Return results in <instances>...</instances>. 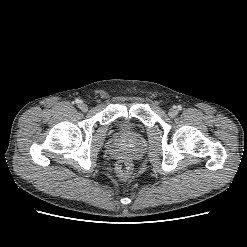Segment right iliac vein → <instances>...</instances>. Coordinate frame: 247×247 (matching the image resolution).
<instances>
[{
    "instance_id": "obj_1",
    "label": "right iliac vein",
    "mask_w": 247,
    "mask_h": 247,
    "mask_svg": "<svg viewBox=\"0 0 247 247\" xmlns=\"http://www.w3.org/2000/svg\"><path fill=\"white\" fill-rule=\"evenodd\" d=\"M78 107L83 112H86L88 110V105L83 102L79 103Z\"/></svg>"
}]
</instances>
